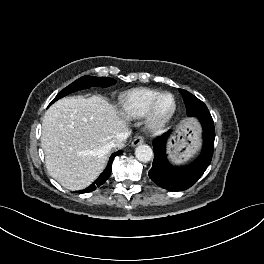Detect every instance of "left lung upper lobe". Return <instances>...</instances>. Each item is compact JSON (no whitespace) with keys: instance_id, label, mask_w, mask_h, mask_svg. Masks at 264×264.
I'll return each instance as SVG.
<instances>
[{"instance_id":"5c2ea615","label":"left lung upper lobe","mask_w":264,"mask_h":264,"mask_svg":"<svg viewBox=\"0 0 264 264\" xmlns=\"http://www.w3.org/2000/svg\"><path fill=\"white\" fill-rule=\"evenodd\" d=\"M179 91L183 96L188 116H198L203 113H209L206 105L197 97L186 90L179 89Z\"/></svg>"}]
</instances>
